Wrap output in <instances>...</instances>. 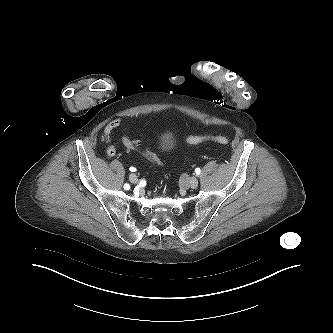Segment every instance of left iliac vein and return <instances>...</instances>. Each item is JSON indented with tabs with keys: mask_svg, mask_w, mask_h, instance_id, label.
I'll return each instance as SVG.
<instances>
[{
	"mask_svg": "<svg viewBox=\"0 0 333 333\" xmlns=\"http://www.w3.org/2000/svg\"><path fill=\"white\" fill-rule=\"evenodd\" d=\"M186 185H188L189 187L195 189L198 186V180L195 177H190L187 181H186Z\"/></svg>",
	"mask_w": 333,
	"mask_h": 333,
	"instance_id": "4c4485c4",
	"label": "left iliac vein"
}]
</instances>
